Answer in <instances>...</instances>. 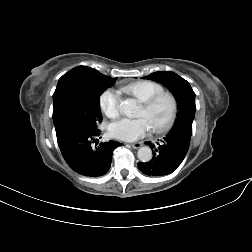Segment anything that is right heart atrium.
<instances>
[{
    "mask_svg": "<svg viewBox=\"0 0 252 252\" xmlns=\"http://www.w3.org/2000/svg\"><path fill=\"white\" fill-rule=\"evenodd\" d=\"M120 94L113 89L105 90L100 96V106L103 113L109 118H115L119 113Z\"/></svg>",
    "mask_w": 252,
    "mask_h": 252,
    "instance_id": "d8ad5b80",
    "label": "right heart atrium"
}]
</instances>
